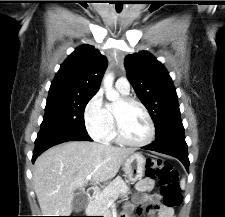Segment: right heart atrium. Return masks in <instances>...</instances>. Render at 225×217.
Here are the masks:
<instances>
[{
	"label": "right heart atrium",
	"instance_id": "1",
	"mask_svg": "<svg viewBox=\"0 0 225 217\" xmlns=\"http://www.w3.org/2000/svg\"><path fill=\"white\" fill-rule=\"evenodd\" d=\"M85 127L96 140H104L112 128V122L103 103V95L98 91L84 108Z\"/></svg>",
	"mask_w": 225,
	"mask_h": 217
}]
</instances>
